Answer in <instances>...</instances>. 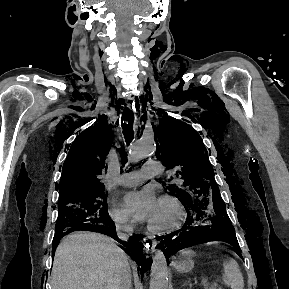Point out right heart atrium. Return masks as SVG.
<instances>
[{"mask_svg":"<svg viewBox=\"0 0 289 289\" xmlns=\"http://www.w3.org/2000/svg\"><path fill=\"white\" fill-rule=\"evenodd\" d=\"M110 216L114 223L122 229H130L132 226V222L127 215V213L119 208L118 206L114 205L110 211Z\"/></svg>","mask_w":289,"mask_h":289,"instance_id":"1","label":"right heart atrium"}]
</instances>
